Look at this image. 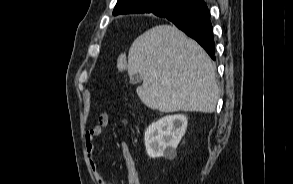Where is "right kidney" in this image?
<instances>
[{
  "label": "right kidney",
  "mask_w": 293,
  "mask_h": 184,
  "mask_svg": "<svg viewBox=\"0 0 293 184\" xmlns=\"http://www.w3.org/2000/svg\"><path fill=\"white\" fill-rule=\"evenodd\" d=\"M187 117L181 114L162 117L145 132V147L150 158L173 159L187 129Z\"/></svg>",
  "instance_id": "1"
}]
</instances>
